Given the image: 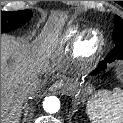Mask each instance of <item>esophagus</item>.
Returning a JSON list of instances; mask_svg holds the SVG:
<instances>
[{
    "label": "esophagus",
    "instance_id": "1",
    "mask_svg": "<svg viewBox=\"0 0 123 123\" xmlns=\"http://www.w3.org/2000/svg\"><path fill=\"white\" fill-rule=\"evenodd\" d=\"M50 91L58 94H62L64 92L63 84L61 82H56L50 87Z\"/></svg>",
    "mask_w": 123,
    "mask_h": 123
}]
</instances>
